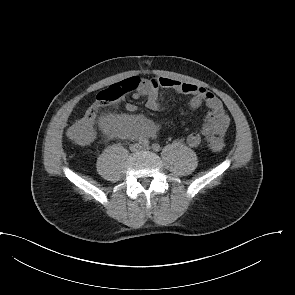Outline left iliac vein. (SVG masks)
I'll list each match as a JSON object with an SVG mask.
<instances>
[{"instance_id":"left-iliac-vein-1","label":"left iliac vein","mask_w":295,"mask_h":295,"mask_svg":"<svg viewBox=\"0 0 295 295\" xmlns=\"http://www.w3.org/2000/svg\"><path fill=\"white\" fill-rule=\"evenodd\" d=\"M150 149H151L150 146H146V147L142 148L143 151H149Z\"/></svg>"}]
</instances>
